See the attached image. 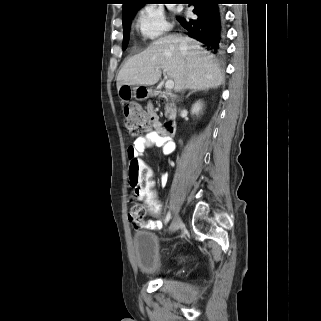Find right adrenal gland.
<instances>
[{"instance_id":"obj_1","label":"right adrenal gland","mask_w":321,"mask_h":321,"mask_svg":"<svg viewBox=\"0 0 321 321\" xmlns=\"http://www.w3.org/2000/svg\"><path fill=\"white\" fill-rule=\"evenodd\" d=\"M207 90H208V89H195V90L191 91L190 93H188V95L186 96V98H189L192 93H195V92H197V91H207Z\"/></svg>"}]
</instances>
